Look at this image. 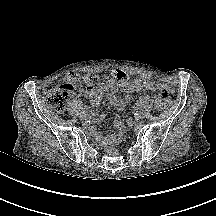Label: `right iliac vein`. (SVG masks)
<instances>
[{"instance_id":"1","label":"right iliac vein","mask_w":216,"mask_h":216,"mask_svg":"<svg viewBox=\"0 0 216 216\" xmlns=\"http://www.w3.org/2000/svg\"><path fill=\"white\" fill-rule=\"evenodd\" d=\"M87 119V116L85 115V114H82L81 116H80V120L81 121H85Z\"/></svg>"}]
</instances>
